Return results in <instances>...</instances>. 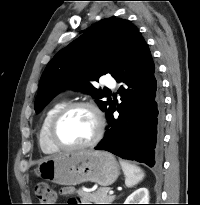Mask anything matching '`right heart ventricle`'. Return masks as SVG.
Wrapping results in <instances>:
<instances>
[{"label":"right heart ventricle","instance_id":"1","mask_svg":"<svg viewBox=\"0 0 200 205\" xmlns=\"http://www.w3.org/2000/svg\"><path fill=\"white\" fill-rule=\"evenodd\" d=\"M66 104L61 100L55 102L45 113L42 124L39 130L38 141L40 148L44 153L52 154L56 153L58 149L52 144L49 138V127L55 114Z\"/></svg>","mask_w":200,"mask_h":205}]
</instances>
